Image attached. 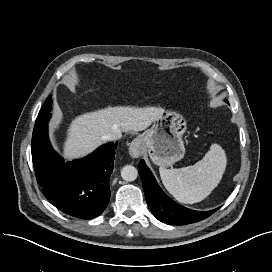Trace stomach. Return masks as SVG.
Masks as SVG:
<instances>
[{
    "label": "stomach",
    "instance_id": "obj_1",
    "mask_svg": "<svg viewBox=\"0 0 272 272\" xmlns=\"http://www.w3.org/2000/svg\"><path fill=\"white\" fill-rule=\"evenodd\" d=\"M185 131L186 121L182 115L164 111L139 139L153 163L167 167L184 157L182 137Z\"/></svg>",
    "mask_w": 272,
    "mask_h": 272
}]
</instances>
